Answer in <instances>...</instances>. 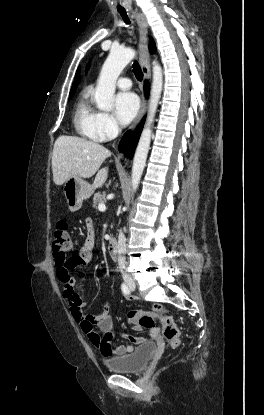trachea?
Masks as SVG:
<instances>
[{
    "mask_svg": "<svg viewBox=\"0 0 264 415\" xmlns=\"http://www.w3.org/2000/svg\"><path fill=\"white\" fill-rule=\"evenodd\" d=\"M120 15H121V17L123 18V20L126 24H130V20H129V18H128L127 14L125 12H120ZM132 67H133V72H134L137 80L142 81L143 72L141 70V67H140L139 63L137 61H135L132 65Z\"/></svg>",
    "mask_w": 264,
    "mask_h": 415,
    "instance_id": "1",
    "label": "trachea"
}]
</instances>
